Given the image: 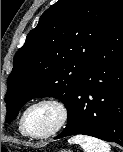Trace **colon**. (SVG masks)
<instances>
[{
  "instance_id": "obj_1",
  "label": "colon",
  "mask_w": 123,
  "mask_h": 152,
  "mask_svg": "<svg viewBox=\"0 0 123 152\" xmlns=\"http://www.w3.org/2000/svg\"><path fill=\"white\" fill-rule=\"evenodd\" d=\"M1 152H12V151L6 147H2Z\"/></svg>"
}]
</instances>
